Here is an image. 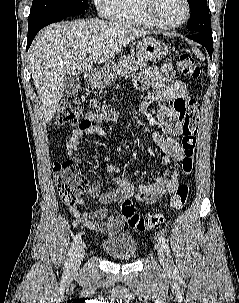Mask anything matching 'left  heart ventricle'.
I'll list each match as a JSON object with an SVG mask.
<instances>
[{
  "mask_svg": "<svg viewBox=\"0 0 239 303\" xmlns=\"http://www.w3.org/2000/svg\"><path fill=\"white\" fill-rule=\"evenodd\" d=\"M183 0H157L155 14L165 24H176L185 16Z\"/></svg>",
  "mask_w": 239,
  "mask_h": 303,
  "instance_id": "1",
  "label": "left heart ventricle"
}]
</instances>
